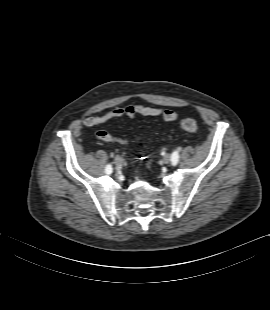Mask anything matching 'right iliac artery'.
Returning a JSON list of instances; mask_svg holds the SVG:
<instances>
[{"mask_svg": "<svg viewBox=\"0 0 270 310\" xmlns=\"http://www.w3.org/2000/svg\"><path fill=\"white\" fill-rule=\"evenodd\" d=\"M105 171H106L107 174H111L112 173L113 169H112L111 164H108L106 166Z\"/></svg>", "mask_w": 270, "mask_h": 310, "instance_id": "obj_1", "label": "right iliac artery"}]
</instances>
